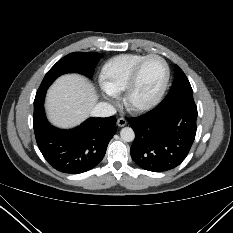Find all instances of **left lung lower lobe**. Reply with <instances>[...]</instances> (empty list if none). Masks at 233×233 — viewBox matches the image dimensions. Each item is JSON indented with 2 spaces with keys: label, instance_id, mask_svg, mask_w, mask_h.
Masks as SVG:
<instances>
[{
  "label": "left lung lower lobe",
  "instance_id": "1",
  "mask_svg": "<svg viewBox=\"0 0 233 233\" xmlns=\"http://www.w3.org/2000/svg\"><path fill=\"white\" fill-rule=\"evenodd\" d=\"M195 102L179 101L156 106L129 119L135 131L131 157L141 168L162 172L175 168L187 156L196 135Z\"/></svg>",
  "mask_w": 233,
  "mask_h": 233
}]
</instances>
